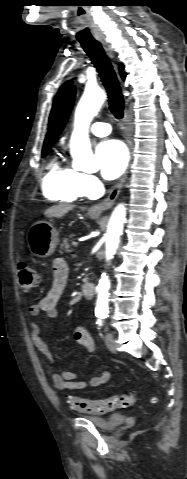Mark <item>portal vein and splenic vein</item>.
<instances>
[{
  "mask_svg": "<svg viewBox=\"0 0 187 479\" xmlns=\"http://www.w3.org/2000/svg\"><path fill=\"white\" fill-rule=\"evenodd\" d=\"M74 246H78V243H74Z\"/></svg>",
  "mask_w": 187,
  "mask_h": 479,
  "instance_id": "18ae733b",
  "label": "portal vein and splenic vein"
}]
</instances>
